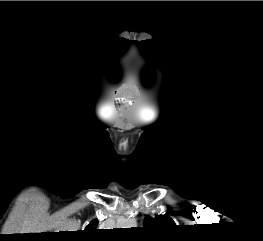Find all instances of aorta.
<instances>
[{"instance_id": "aorta-1", "label": "aorta", "mask_w": 263, "mask_h": 241, "mask_svg": "<svg viewBox=\"0 0 263 241\" xmlns=\"http://www.w3.org/2000/svg\"><path fill=\"white\" fill-rule=\"evenodd\" d=\"M136 225V222L133 219H128L123 223V226L128 227H134Z\"/></svg>"}]
</instances>
